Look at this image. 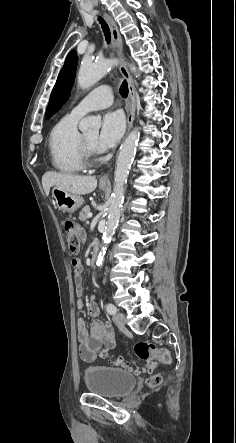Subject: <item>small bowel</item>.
Instances as JSON below:
<instances>
[{
    "instance_id": "obj_1",
    "label": "small bowel",
    "mask_w": 236,
    "mask_h": 443,
    "mask_svg": "<svg viewBox=\"0 0 236 443\" xmlns=\"http://www.w3.org/2000/svg\"><path fill=\"white\" fill-rule=\"evenodd\" d=\"M78 264L81 267V276L75 281V292H76V303L77 307L82 310L85 308V303L83 300V288H82V262L76 258ZM73 265V259H72ZM88 312L92 317H96L99 314V309L94 300H92L87 306ZM77 327V338L80 344V356L86 360L90 361L94 359L95 353L100 348L111 349L115 346V339L113 336L112 329L109 325L104 324L100 321H94L90 329H88L86 321L83 318H78L76 322ZM86 354L90 355L91 358H86Z\"/></svg>"
}]
</instances>
